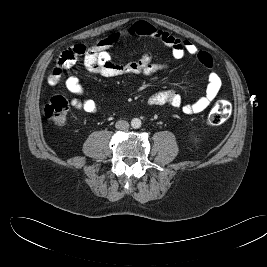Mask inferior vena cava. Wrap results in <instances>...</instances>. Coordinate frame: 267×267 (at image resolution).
I'll return each mask as SVG.
<instances>
[{"mask_svg":"<svg viewBox=\"0 0 267 267\" xmlns=\"http://www.w3.org/2000/svg\"><path fill=\"white\" fill-rule=\"evenodd\" d=\"M115 127L119 130H128L129 123L125 120H119L116 122Z\"/></svg>","mask_w":267,"mask_h":267,"instance_id":"1","label":"inferior vena cava"}]
</instances>
